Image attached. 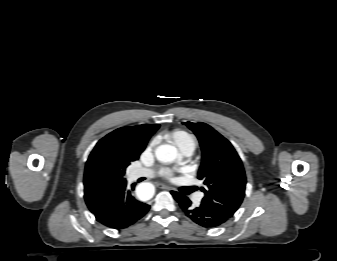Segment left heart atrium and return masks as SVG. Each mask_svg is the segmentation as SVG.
I'll return each instance as SVG.
<instances>
[{
    "instance_id": "left-heart-atrium-1",
    "label": "left heart atrium",
    "mask_w": 337,
    "mask_h": 261,
    "mask_svg": "<svg viewBox=\"0 0 337 261\" xmlns=\"http://www.w3.org/2000/svg\"><path fill=\"white\" fill-rule=\"evenodd\" d=\"M164 176L167 178H171V173L169 171H165Z\"/></svg>"
}]
</instances>
